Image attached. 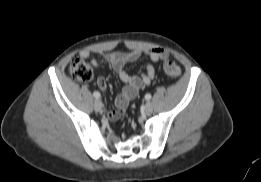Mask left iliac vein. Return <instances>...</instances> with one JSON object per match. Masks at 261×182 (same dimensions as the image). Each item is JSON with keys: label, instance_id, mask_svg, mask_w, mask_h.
Listing matches in <instances>:
<instances>
[{"label": "left iliac vein", "instance_id": "1", "mask_svg": "<svg viewBox=\"0 0 261 182\" xmlns=\"http://www.w3.org/2000/svg\"><path fill=\"white\" fill-rule=\"evenodd\" d=\"M144 112L146 114H151L153 112V106L150 102H147L144 107Z\"/></svg>", "mask_w": 261, "mask_h": 182}]
</instances>
